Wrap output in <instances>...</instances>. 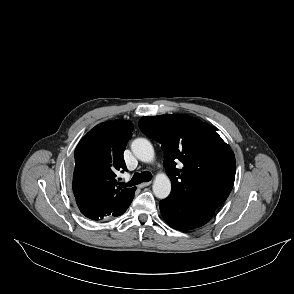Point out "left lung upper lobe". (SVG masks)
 Returning <instances> with one entry per match:
<instances>
[{
    "label": "left lung upper lobe",
    "instance_id": "1",
    "mask_svg": "<svg viewBox=\"0 0 294 294\" xmlns=\"http://www.w3.org/2000/svg\"><path fill=\"white\" fill-rule=\"evenodd\" d=\"M140 129L161 143L171 194L216 209L229 196L236 173L231 147L216 128L186 114L142 117ZM182 162L181 169L176 162Z\"/></svg>",
    "mask_w": 294,
    "mask_h": 294
}]
</instances>
